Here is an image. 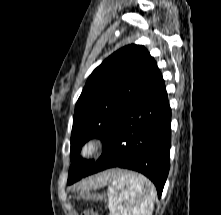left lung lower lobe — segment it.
<instances>
[{"mask_svg":"<svg viewBox=\"0 0 221 215\" xmlns=\"http://www.w3.org/2000/svg\"><path fill=\"white\" fill-rule=\"evenodd\" d=\"M170 123L164 80L155 64L143 87L119 113L102 155L85 176L113 167L135 170L155 184L160 198L170 168Z\"/></svg>","mask_w":221,"mask_h":215,"instance_id":"1","label":"left lung lower lobe"}]
</instances>
